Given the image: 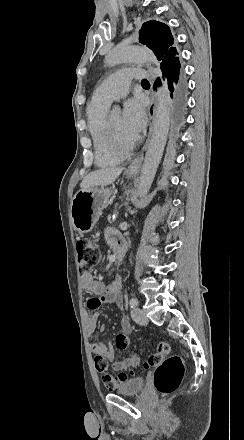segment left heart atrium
<instances>
[{
    "instance_id": "1",
    "label": "left heart atrium",
    "mask_w": 244,
    "mask_h": 440,
    "mask_svg": "<svg viewBox=\"0 0 244 440\" xmlns=\"http://www.w3.org/2000/svg\"><path fill=\"white\" fill-rule=\"evenodd\" d=\"M124 127L127 133L134 135L146 125L145 104L141 98L126 101L123 110Z\"/></svg>"
}]
</instances>
